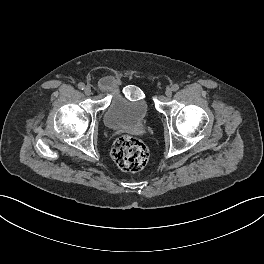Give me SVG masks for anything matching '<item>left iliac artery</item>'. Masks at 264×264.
Listing matches in <instances>:
<instances>
[{"instance_id":"44dca946","label":"left iliac artery","mask_w":264,"mask_h":264,"mask_svg":"<svg viewBox=\"0 0 264 264\" xmlns=\"http://www.w3.org/2000/svg\"><path fill=\"white\" fill-rule=\"evenodd\" d=\"M179 89V85L178 84H174L173 86H172V90L173 91H177Z\"/></svg>"}]
</instances>
